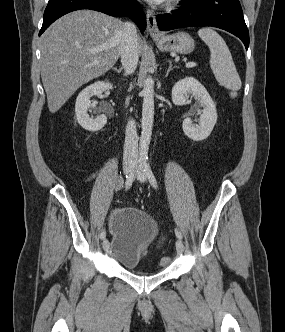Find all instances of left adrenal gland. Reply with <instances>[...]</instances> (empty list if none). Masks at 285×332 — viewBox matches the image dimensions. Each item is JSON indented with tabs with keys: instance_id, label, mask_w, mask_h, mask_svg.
Returning a JSON list of instances; mask_svg holds the SVG:
<instances>
[{
	"instance_id": "1",
	"label": "left adrenal gland",
	"mask_w": 285,
	"mask_h": 332,
	"mask_svg": "<svg viewBox=\"0 0 285 332\" xmlns=\"http://www.w3.org/2000/svg\"><path fill=\"white\" fill-rule=\"evenodd\" d=\"M168 63H169V67H168V70H167L166 76H168L169 72L173 69L172 61H171V60H168Z\"/></svg>"
}]
</instances>
